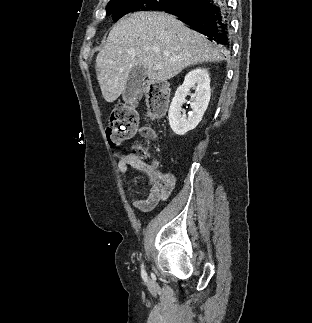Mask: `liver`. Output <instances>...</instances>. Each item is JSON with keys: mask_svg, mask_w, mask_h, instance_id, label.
<instances>
[{"mask_svg": "<svg viewBox=\"0 0 312 323\" xmlns=\"http://www.w3.org/2000/svg\"><path fill=\"white\" fill-rule=\"evenodd\" d=\"M222 60V50L214 48L207 36L186 28L176 16L134 12L112 28L96 58L97 80L104 100L115 102L134 66H143L149 82H166L193 64Z\"/></svg>", "mask_w": 312, "mask_h": 323, "instance_id": "liver-1", "label": "liver"}]
</instances>
